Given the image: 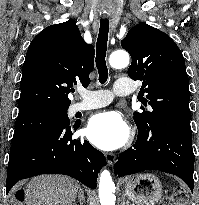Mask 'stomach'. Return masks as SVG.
Segmentation results:
<instances>
[{"label":"stomach","mask_w":199,"mask_h":205,"mask_svg":"<svg viewBox=\"0 0 199 205\" xmlns=\"http://www.w3.org/2000/svg\"><path fill=\"white\" fill-rule=\"evenodd\" d=\"M124 182L126 195L137 205H155L162 197V184L154 174H135Z\"/></svg>","instance_id":"stomach-1"}]
</instances>
